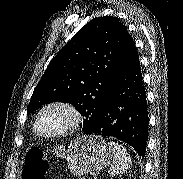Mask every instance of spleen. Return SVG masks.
Returning a JSON list of instances; mask_svg holds the SVG:
<instances>
[{"label": "spleen", "instance_id": "3e777b00", "mask_svg": "<svg viewBox=\"0 0 183 179\" xmlns=\"http://www.w3.org/2000/svg\"><path fill=\"white\" fill-rule=\"evenodd\" d=\"M108 145L113 158V165L110 167L108 173L110 176H116L130 168L132 164L131 157L121 144L109 142Z\"/></svg>", "mask_w": 183, "mask_h": 179}]
</instances>
